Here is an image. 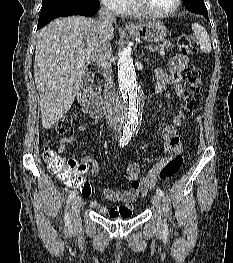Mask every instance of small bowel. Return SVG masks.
<instances>
[{"label":"small bowel","instance_id":"small-bowel-1","mask_svg":"<svg viewBox=\"0 0 233 263\" xmlns=\"http://www.w3.org/2000/svg\"><path fill=\"white\" fill-rule=\"evenodd\" d=\"M188 64V58L185 54H176L169 60V71H165L158 67L155 70L156 85L155 92L160 93L166 90L169 86L175 87V92L178 98H185L184 86L182 83V72ZM97 124L96 120H89L85 123L78 124L75 127V132L83 133L90 127ZM164 140V150L166 157L160 160L142 180L139 179L140 168L135 162H129L125 167L126 178L130 183V187L126 190H118L115 188L104 187L102 189L103 196L111 202L120 203L121 205L108 208L96 200L89 201L91 208L97 210L99 213L108 215L112 219L117 218H129L133 213V204L139 198L145 196L150 189L153 188L157 179L154 177V173L160 167L165 165L174 157L178 156L182 152V144L180 141L178 131L171 126H167L162 132ZM75 137L73 135H66L59 140L57 150L59 153H63L67 149V145L73 143ZM76 164L74 171H88L95 176L99 172V166L97 162L90 158L84 157L80 160H73ZM67 182H69L67 180ZM80 184V183H73ZM91 192V191H90ZM91 194V193H90ZM88 198L90 195H83Z\"/></svg>","mask_w":233,"mask_h":263}]
</instances>
